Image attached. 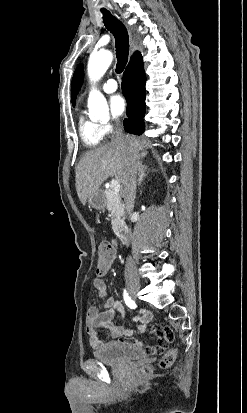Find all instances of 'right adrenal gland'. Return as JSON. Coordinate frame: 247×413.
Masks as SVG:
<instances>
[{
	"label": "right adrenal gland",
	"instance_id": "2a0ac1e0",
	"mask_svg": "<svg viewBox=\"0 0 247 413\" xmlns=\"http://www.w3.org/2000/svg\"><path fill=\"white\" fill-rule=\"evenodd\" d=\"M141 162H142V160H140V164H141ZM146 168H147L146 164H141V168L138 172V176H139L138 186H139V184H141V182L143 180V176H147Z\"/></svg>",
	"mask_w": 247,
	"mask_h": 413
}]
</instances>
